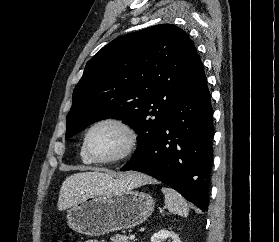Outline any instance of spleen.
<instances>
[{
	"label": "spleen",
	"instance_id": "1",
	"mask_svg": "<svg viewBox=\"0 0 279 242\" xmlns=\"http://www.w3.org/2000/svg\"><path fill=\"white\" fill-rule=\"evenodd\" d=\"M161 191L165 195V205L170 213L188 215L189 208L181 194L169 187H162Z\"/></svg>",
	"mask_w": 279,
	"mask_h": 242
}]
</instances>
